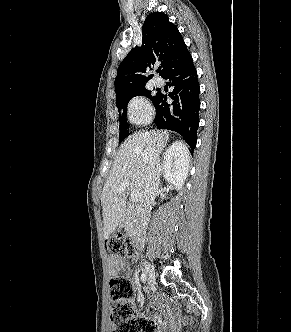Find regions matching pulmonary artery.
<instances>
[{
    "mask_svg": "<svg viewBox=\"0 0 291 332\" xmlns=\"http://www.w3.org/2000/svg\"><path fill=\"white\" fill-rule=\"evenodd\" d=\"M154 83L157 86H162L164 84V80L162 78L157 77V78H155Z\"/></svg>",
    "mask_w": 291,
    "mask_h": 332,
    "instance_id": "obj_1",
    "label": "pulmonary artery"
}]
</instances>
